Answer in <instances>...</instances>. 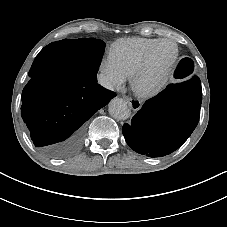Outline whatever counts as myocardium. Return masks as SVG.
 <instances>
[{
  "instance_id": "obj_1",
  "label": "myocardium",
  "mask_w": 227,
  "mask_h": 227,
  "mask_svg": "<svg viewBox=\"0 0 227 227\" xmlns=\"http://www.w3.org/2000/svg\"><path fill=\"white\" fill-rule=\"evenodd\" d=\"M167 42L172 43L175 46L174 57L172 58V60L170 61L166 69L163 71L161 76L156 81H154L150 85L142 86L138 81L139 76L150 66L153 60L154 54L158 49V47L161 44L167 43ZM179 57H180V49L178 44L173 39L163 38V39H160L158 42H156L146 53L143 60L139 64H137L135 68L132 70V72L130 73V84L134 92H136L141 96H150V95L157 94L159 91H161L169 81L171 75L173 74L175 67L178 63Z\"/></svg>"
}]
</instances>
